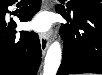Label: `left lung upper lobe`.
I'll return each instance as SVG.
<instances>
[{"instance_id":"obj_1","label":"left lung upper lobe","mask_w":102,"mask_h":75,"mask_svg":"<svg viewBox=\"0 0 102 75\" xmlns=\"http://www.w3.org/2000/svg\"><path fill=\"white\" fill-rule=\"evenodd\" d=\"M62 12L68 14H79L82 12H102V0H71L59 8Z\"/></svg>"}]
</instances>
